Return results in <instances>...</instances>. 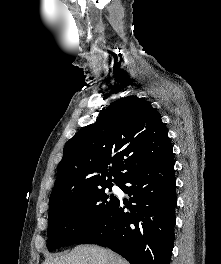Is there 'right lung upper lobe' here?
<instances>
[{
  "instance_id": "1",
  "label": "right lung upper lobe",
  "mask_w": 221,
  "mask_h": 264,
  "mask_svg": "<svg viewBox=\"0 0 221 264\" xmlns=\"http://www.w3.org/2000/svg\"><path fill=\"white\" fill-rule=\"evenodd\" d=\"M171 154L168 131L156 109L136 96L121 98L66 143L49 210L71 194L121 183Z\"/></svg>"
}]
</instances>
